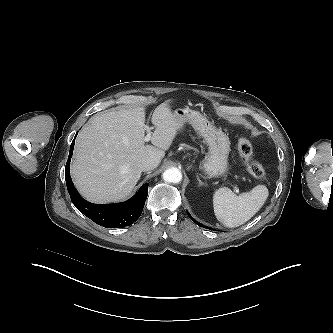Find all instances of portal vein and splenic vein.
I'll return each mask as SVG.
<instances>
[{"label": "portal vein and splenic vein", "mask_w": 333, "mask_h": 333, "mask_svg": "<svg viewBox=\"0 0 333 333\" xmlns=\"http://www.w3.org/2000/svg\"><path fill=\"white\" fill-rule=\"evenodd\" d=\"M148 134L144 137V142H148L151 139V128L147 127ZM236 192L238 193L239 190L236 188Z\"/></svg>", "instance_id": "1"}]
</instances>
